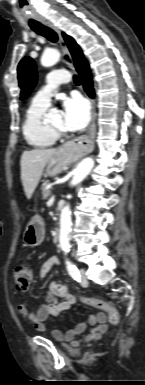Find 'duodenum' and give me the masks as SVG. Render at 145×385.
Returning <instances> with one entry per match:
<instances>
[{"label": "duodenum", "mask_w": 145, "mask_h": 385, "mask_svg": "<svg viewBox=\"0 0 145 385\" xmlns=\"http://www.w3.org/2000/svg\"><path fill=\"white\" fill-rule=\"evenodd\" d=\"M53 241L55 242V243H58L59 242V231L56 229V230H54V232H53Z\"/></svg>", "instance_id": "duodenum-1"}]
</instances>
